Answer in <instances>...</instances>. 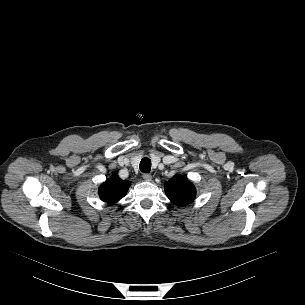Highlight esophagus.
Instances as JSON below:
<instances>
[{
    "mask_svg": "<svg viewBox=\"0 0 305 305\" xmlns=\"http://www.w3.org/2000/svg\"><path fill=\"white\" fill-rule=\"evenodd\" d=\"M143 179L145 181H151L152 180V176L149 173H144L143 174Z\"/></svg>",
    "mask_w": 305,
    "mask_h": 305,
    "instance_id": "34e87169",
    "label": "esophagus"
}]
</instances>
